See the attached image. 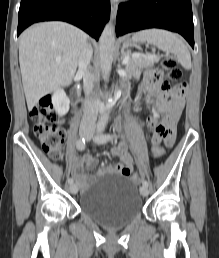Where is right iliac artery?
<instances>
[{"instance_id": "obj_1", "label": "right iliac artery", "mask_w": 219, "mask_h": 258, "mask_svg": "<svg viewBox=\"0 0 219 258\" xmlns=\"http://www.w3.org/2000/svg\"><path fill=\"white\" fill-rule=\"evenodd\" d=\"M85 145H86L85 138H80V139H78L77 142H76V147H77V149L80 150V151H82V150L85 149ZM73 182H74V181H73V178H69V179H68V183H69V184H73Z\"/></svg>"}]
</instances>
